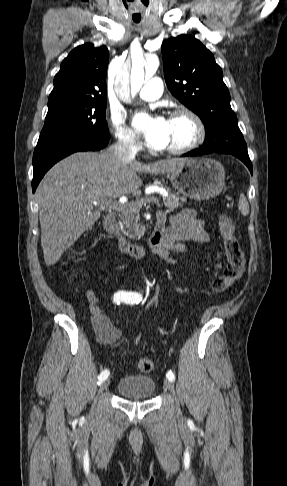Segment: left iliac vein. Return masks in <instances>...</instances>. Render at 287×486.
Segmentation results:
<instances>
[{"mask_svg": "<svg viewBox=\"0 0 287 486\" xmlns=\"http://www.w3.org/2000/svg\"><path fill=\"white\" fill-rule=\"evenodd\" d=\"M164 385H165L166 389L169 390L170 393L175 397V400H176V411L179 414L180 409H179V405L177 403L176 394H175V390H174V387H173L172 383L169 380H165L164 381Z\"/></svg>", "mask_w": 287, "mask_h": 486, "instance_id": "left-iliac-vein-1", "label": "left iliac vein"}]
</instances>
